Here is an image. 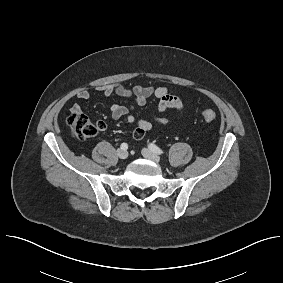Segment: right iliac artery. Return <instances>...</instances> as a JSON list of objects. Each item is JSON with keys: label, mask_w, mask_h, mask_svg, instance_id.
I'll list each match as a JSON object with an SVG mask.
<instances>
[{"label": "right iliac artery", "mask_w": 283, "mask_h": 283, "mask_svg": "<svg viewBox=\"0 0 283 283\" xmlns=\"http://www.w3.org/2000/svg\"><path fill=\"white\" fill-rule=\"evenodd\" d=\"M120 147H121V149H123V150H127V149H128L127 143H122Z\"/></svg>", "instance_id": "obj_1"}]
</instances>
